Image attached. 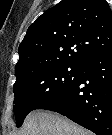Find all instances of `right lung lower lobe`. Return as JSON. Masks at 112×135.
<instances>
[{
	"mask_svg": "<svg viewBox=\"0 0 112 135\" xmlns=\"http://www.w3.org/2000/svg\"><path fill=\"white\" fill-rule=\"evenodd\" d=\"M39 109L58 112L96 135H112V49L81 62L74 85Z\"/></svg>",
	"mask_w": 112,
	"mask_h": 135,
	"instance_id": "obj_1",
	"label": "right lung lower lobe"
}]
</instances>
